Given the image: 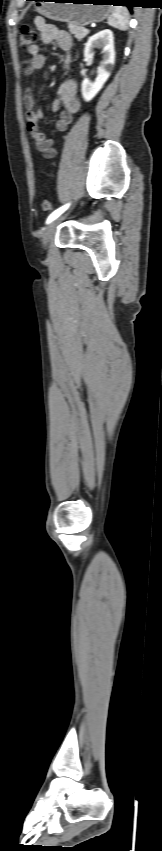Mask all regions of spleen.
Segmentation results:
<instances>
[{"mask_svg": "<svg viewBox=\"0 0 162 851\" xmlns=\"http://www.w3.org/2000/svg\"><path fill=\"white\" fill-rule=\"evenodd\" d=\"M129 13L125 7H111V15L108 17V25L119 30H126L128 25Z\"/></svg>", "mask_w": 162, "mask_h": 851, "instance_id": "1", "label": "spleen"}]
</instances>
